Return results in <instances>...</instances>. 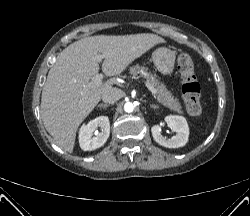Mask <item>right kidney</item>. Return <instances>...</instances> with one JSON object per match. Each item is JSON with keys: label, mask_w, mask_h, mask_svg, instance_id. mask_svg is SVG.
Listing matches in <instances>:
<instances>
[{"label": "right kidney", "mask_w": 250, "mask_h": 216, "mask_svg": "<svg viewBox=\"0 0 250 216\" xmlns=\"http://www.w3.org/2000/svg\"><path fill=\"white\" fill-rule=\"evenodd\" d=\"M100 127L101 132L96 131ZM93 134L95 136L93 137ZM110 134V123L107 116H99L83 125L79 131V144L82 150L92 151L104 145Z\"/></svg>", "instance_id": "ca27d5eb"}]
</instances>
